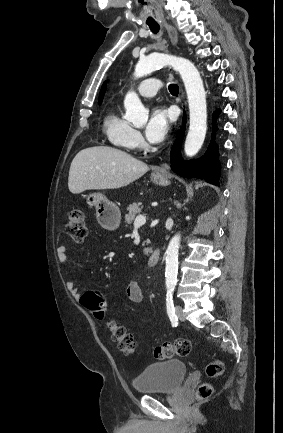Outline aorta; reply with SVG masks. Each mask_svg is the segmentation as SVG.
<instances>
[{
    "label": "aorta",
    "mask_w": 283,
    "mask_h": 433,
    "mask_svg": "<svg viewBox=\"0 0 283 433\" xmlns=\"http://www.w3.org/2000/svg\"><path fill=\"white\" fill-rule=\"evenodd\" d=\"M164 66H171L179 72L187 93L189 104L190 125L186 137L184 151L192 157L200 150L207 130L206 93L200 73L189 60L163 53H152L141 58L134 72V77L141 78ZM126 119L137 126L144 125L148 120V110L143 106L138 95L129 91L124 99ZM180 234L175 235L169 242L166 250L165 283L167 288L176 284L178 271V248Z\"/></svg>",
    "instance_id": "obj_1"
}]
</instances>
